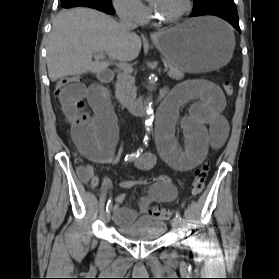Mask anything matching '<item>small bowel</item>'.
<instances>
[{"mask_svg": "<svg viewBox=\"0 0 279 279\" xmlns=\"http://www.w3.org/2000/svg\"><path fill=\"white\" fill-rule=\"evenodd\" d=\"M59 97L62 111L71 129L73 141L82 156L94 163H117L120 155L118 119L110 104V96L101 85L85 86L71 83L65 86ZM194 101L188 115L181 119L184 149L174 136V125L182 105ZM89 105L95 112L90 116ZM225 98L220 88L205 80L186 81L177 86L164 100L157 114V146L162 159L172 168L188 171L205 158L208 150L222 147L228 136V123L223 116ZM156 163V155L147 152L135 160L139 170H150ZM81 182L97 188L101 179L95 175L90 164L77 168ZM149 183L147 195L140 198L138 209L145 213L153 202H171L177 197V189L168 176H159L142 181ZM135 183L122 181L120 186L130 188ZM126 195L113 200L117 223L127 225L136 220L138 211L123 207Z\"/></svg>", "mask_w": 279, "mask_h": 279, "instance_id": "1", "label": "small bowel"}]
</instances>
